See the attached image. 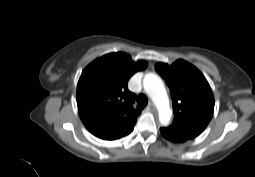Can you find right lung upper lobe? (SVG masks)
<instances>
[{
  "label": "right lung upper lobe",
  "mask_w": 255,
  "mask_h": 177,
  "mask_svg": "<svg viewBox=\"0 0 255 177\" xmlns=\"http://www.w3.org/2000/svg\"><path fill=\"white\" fill-rule=\"evenodd\" d=\"M147 67L123 52L106 54L89 64L77 86V106L85 127L96 137L110 140L136 122L143 107L133 108L130 77Z\"/></svg>",
  "instance_id": "1"
}]
</instances>
